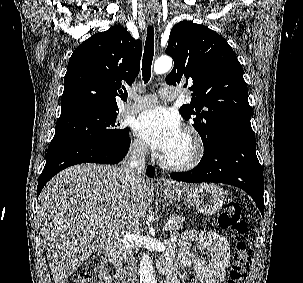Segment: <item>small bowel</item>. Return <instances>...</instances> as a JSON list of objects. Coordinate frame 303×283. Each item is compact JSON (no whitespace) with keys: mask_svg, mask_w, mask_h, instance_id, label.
<instances>
[{"mask_svg":"<svg viewBox=\"0 0 303 283\" xmlns=\"http://www.w3.org/2000/svg\"><path fill=\"white\" fill-rule=\"evenodd\" d=\"M178 245L180 252L171 271L175 283H180L178 273L188 266L194 268L198 275V280L193 283H223L230 257V248L223 236L214 232L189 230L180 236ZM203 253L207 255L206 259L201 256ZM174 256L173 244H170L164 258L171 261ZM97 273V283H112L107 262L103 258Z\"/></svg>","mask_w":303,"mask_h":283,"instance_id":"small-bowel-1","label":"small bowel"}]
</instances>
